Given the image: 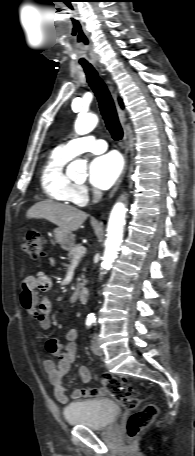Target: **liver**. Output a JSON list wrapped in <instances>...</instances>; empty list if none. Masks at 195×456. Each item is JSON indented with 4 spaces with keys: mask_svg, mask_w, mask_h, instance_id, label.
I'll return each mask as SVG.
<instances>
[{
    "mask_svg": "<svg viewBox=\"0 0 195 456\" xmlns=\"http://www.w3.org/2000/svg\"><path fill=\"white\" fill-rule=\"evenodd\" d=\"M28 219H46L67 233L77 231L87 219L86 212L52 200L34 204L27 213Z\"/></svg>",
    "mask_w": 195,
    "mask_h": 456,
    "instance_id": "obj_1",
    "label": "liver"
}]
</instances>
